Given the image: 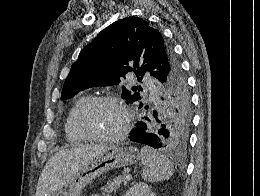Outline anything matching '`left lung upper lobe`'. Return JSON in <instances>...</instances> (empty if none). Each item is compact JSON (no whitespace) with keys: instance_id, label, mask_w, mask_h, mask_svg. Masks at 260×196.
Returning a JSON list of instances; mask_svg holds the SVG:
<instances>
[{"instance_id":"obj_1","label":"left lung upper lobe","mask_w":260,"mask_h":196,"mask_svg":"<svg viewBox=\"0 0 260 196\" xmlns=\"http://www.w3.org/2000/svg\"><path fill=\"white\" fill-rule=\"evenodd\" d=\"M129 72L141 76L139 81L145 73L160 81L159 99L153 108L143 109L142 122L148 132L159 136V148L183 151L192 120L186 80L170 45L144 19L126 17L102 30L72 65L61 98L68 99L90 87L118 84ZM122 97L128 103L141 100L138 92L132 93L124 86Z\"/></svg>"}]
</instances>
